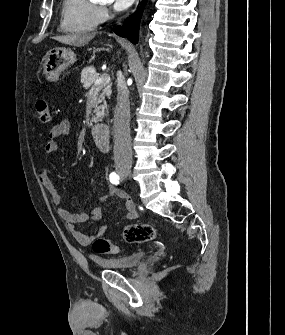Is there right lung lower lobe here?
<instances>
[{
	"mask_svg": "<svg viewBox=\"0 0 285 335\" xmlns=\"http://www.w3.org/2000/svg\"><path fill=\"white\" fill-rule=\"evenodd\" d=\"M146 2L147 0H143L141 8L130 17V19L127 21V23L124 24V26H119L114 29V32L117 35L121 37H127V39L134 44L138 42L139 23Z\"/></svg>",
	"mask_w": 285,
	"mask_h": 335,
	"instance_id": "1",
	"label": "right lung lower lobe"
}]
</instances>
